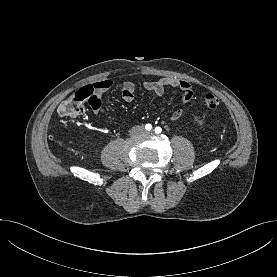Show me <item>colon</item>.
<instances>
[{
    "instance_id": "1",
    "label": "colon",
    "mask_w": 277,
    "mask_h": 277,
    "mask_svg": "<svg viewBox=\"0 0 277 277\" xmlns=\"http://www.w3.org/2000/svg\"><path fill=\"white\" fill-rule=\"evenodd\" d=\"M89 90L80 89L75 94L66 99L58 108V114L62 117H78L85 111V104L93 101ZM206 107L215 109L219 105V99L216 95L208 93L204 97Z\"/></svg>"
}]
</instances>
